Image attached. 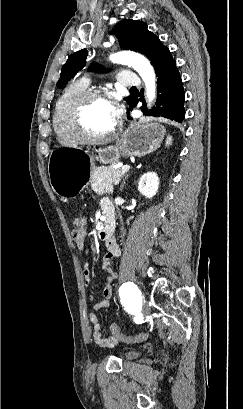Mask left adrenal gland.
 I'll list each match as a JSON object with an SVG mask.
<instances>
[{
    "label": "left adrenal gland",
    "mask_w": 243,
    "mask_h": 409,
    "mask_svg": "<svg viewBox=\"0 0 243 409\" xmlns=\"http://www.w3.org/2000/svg\"><path fill=\"white\" fill-rule=\"evenodd\" d=\"M127 177H128V176H125V179H124L123 182H122V185H121V187H120V190H123L124 185H125V183H126L125 181H126Z\"/></svg>",
    "instance_id": "left-adrenal-gland-1"
}]
</instances>
